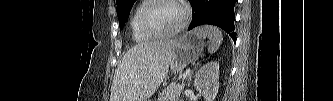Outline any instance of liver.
Segmentation results:
<instances>
[{
  "label": "liver",
  "mask_w": 333,
  "mask_h": 101,
  "mask_svg": "<svg viewBox=\"0 0 333 101\" xmlns=\"http://www.w3.org/2000/svg\"><path fill=\"white\" fill-rule=\"evenodd\" d=\"M174 40L139 43L119 63L110 101H146L168 74Z\"/></svg>",
  "instance_id": "6515ba94"
}]
</instances>
